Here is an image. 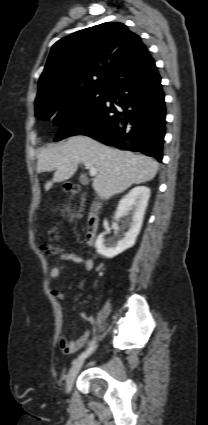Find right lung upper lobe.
<instances>
[{
	"instance_id": "right-lung-upper-lobe-1",
	"label": "right lung upper lobe",
	"mask_w": 208,
	"mask_h": 425,
	"mask_svg": "<svg viewBox=\"0 0 208 425\" xmlns=\"http://www.w3.org/2000/svg\"><path fill=\"white\" fill-rule=\"evenodd\" d=\"M148 53L140 37L119 22L77 31L52 46L35 102L82 89L107 88Z\"/></svg>"
}]
</instances>
